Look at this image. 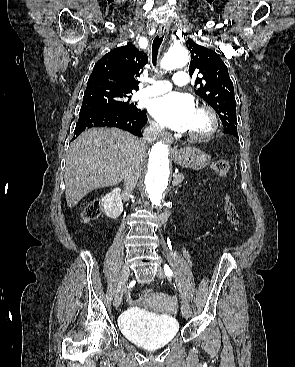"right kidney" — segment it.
<instances>
[{"label":"right kidney","mask_w":295,"mask_h":367,"mask_svg":"<svg viewBox=\"0 0 295 367\" xmlns=\"http://www.w3.org/2000/svg\"><path fill=\"white\" fill-rule=\"evenodd\" d=\"M120 192V188H115L101 199L100 205L102 206L106 216L109 218L116 219L123 212Z\"/></svg>","instance_id":"1"}]
</instances>
